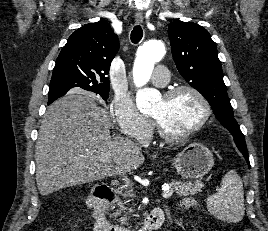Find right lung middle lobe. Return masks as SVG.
Segmentation results:
<instances>
[{
	"label": "right lung middle lobe",
	"instance_id": "right-lung-middle-lobe-1",
	"mask_svg": "<svg viewBox=\"0 0 268 231\" xmlns=\"http://www.w3.org/2000/svg\"><path fill=\"white\" fill-rule=\"evenodd\" d=\"M67 92L66 89L62 88H50L49 89V96L53 95H64ZM95 93L99 94L104 100H107L109 97V90H102V91H95Z\"/></svg>",
	"mask_w": 268,
	"mask_h": 231
}]
</instances>
